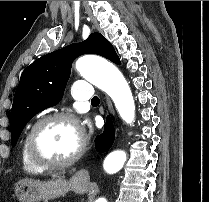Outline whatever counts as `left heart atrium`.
Segmentation results:
<instances>
[{"label":"left heart atrium","mask_w":209,"mask_h":202,"mask_svg":"<svg viewBox=\"0 0 209 202\" xmlns=\"http://www.w3.org/2000/svg\"><path fill=\"white\" fill-rule=\"evenodd\" d=\"M79 132H80V134L83 133V129L81 127L79 128Z\"/></svg>","instance_id":"left-heart-atrium-1"}]
</instances>
